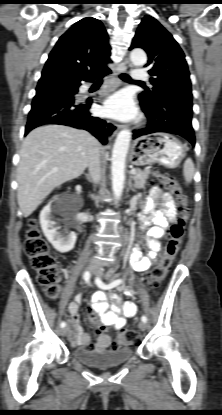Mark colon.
<instances>
[{
  "label": "colon",
  "instance_id": "colon-1",
  "mask_svg": "<svg viewBox=\"0 0 222 415\" xmlns=\"http://www.w3.org/2000/svg\"><path fill=\"white\" fill-rule=\"evenodd\" d=\"M158 180L177 197L182 211L186 213L188 211V201L179 183L166 175L158 176ZM185 226L186 221L183 217L171 225L165 249L156 265L145 277V282L149 288L157 289L166 276L180 247ZM25 252L30 258L33 268L37 271L38 280L45 287L47 296L56 298L60 290L58 285L59 264L57 258L49 252L45 240L36 230L34 221L30 222V229L26 233ZM91 313L94 321H97V313L93 308ZM106 329L107 326L105 324L99 325L100 331H105ZM139 339L140 337L136 331L125 330L119 333L116 340L111 344V348L118 349Z\"/></svg>",
  "mask_w": 222,
  "mask_h": 415
}]
</instances>
